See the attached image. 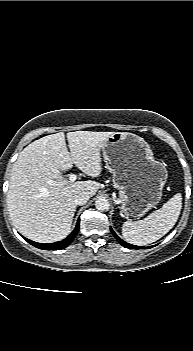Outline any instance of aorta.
I'll list each match as a JSON object with an SVG mask.
<instances>
[{
    "label": "aorta",
    "instance_id": "762f6f07",
    "mask_svg": "<svg viewBox=\"0 0 193 351\" xmlns=\"http://www.w3.org/2000/svg\"><path fill=\"white\" fill-rule=\"evenodd\" d=\"M95 207L99 211H108L109 207H110V204H109L108 200L105 197H99L95 201Z\"/></svg>",
    "mask_w": 193,
    "mask_h": 351
}]
</instances>
